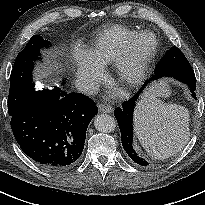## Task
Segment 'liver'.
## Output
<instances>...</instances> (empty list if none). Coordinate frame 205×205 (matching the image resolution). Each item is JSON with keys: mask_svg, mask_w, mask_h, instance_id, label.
I'll use <instances>...</instances> for the list:
<instances>
[{"mask_svg": "<svg viewBox=\"0 0 205 205\" xmlns=\"http://www.w3.org/2000/svg\"><path fill=\"white\" fill-rule=\"evenodd\" d=\"M48 62L49 63H53V65L51 64V66L47 70H45V69H38L39 77H44V76L50 75L52 73V70L57 68L55 61H48ZM160 85H164V84H156L154 87H158ZM154 87H151L150 89H153Z\"/></svg>", "mask_w": 205, "mask_h": 205, "instance_id": "1", "label": "liver"}]
</instances>
